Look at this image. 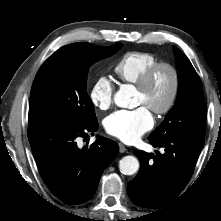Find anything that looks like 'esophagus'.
<instances>
[{"instance_id": "esophagus-1", "label": "esophagus", "mask_w": 221, "mask_h": 221, "mask_svg": "<svg viewBox=\"0 0 221 221\" xmlns=\"http://www.w3.org/2000/svg\"><path fill=\"white\" fill-rule=\"evenodd\" d=\"M118 145H119V151L121 153H124L127 151V148L125 147V145L123 143L120 142Z\"/></svg>"}]
</instances>
